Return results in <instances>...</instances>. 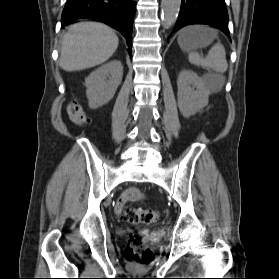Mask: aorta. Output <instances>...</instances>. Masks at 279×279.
I'll use <instances>...</instances> for the list:
<instances>
[{
	"label": "aorta",
	"instance_id": "obj_1",
	"mask_svg": "<svg viewBox=\"0 0 279 279\" xmlns=\"http://www.w3.org/2000/svg\"><path fill=\"white\" fill-rule=\"evenodd\" d=\"M180 6L181 0H162L161 19L164 28H168L176 22Z\"/></svg>",
	"mask_w": 279,
	"mask_h": 279
}]
</instances>
